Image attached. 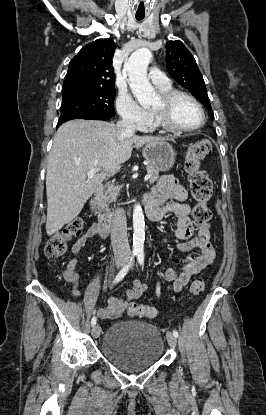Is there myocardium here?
<instances>
[{
  "label": "myocardium",
  "mask_w": 266,
  "mask_h": 415,
  "mask_svg": "<svg viewBox=\"0 0 266 415\" xmlns=\"http://www.w3.org/2000/svg\"><path fill=\"white\" fill-rule=\"evenodd\" d=\"M159 97L161 100V106L158 108H152L155 119L159 126L168 131L178 133L193 132L204 126L206 122L205 110L199 100L192 94L182 90L171 89L162 91ZM179 97H185L196 105L201 114V122L198 125L193 127H182L173 122L170 116V110L174 101Z\"/></svg>",
  "instance_id": "1"
}]
</instances>
